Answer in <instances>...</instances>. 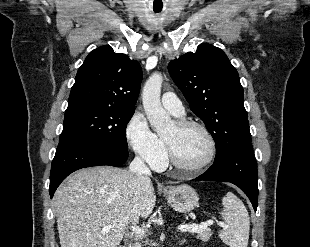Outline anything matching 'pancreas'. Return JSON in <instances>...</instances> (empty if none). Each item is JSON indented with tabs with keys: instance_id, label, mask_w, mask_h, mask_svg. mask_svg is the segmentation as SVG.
<instances>
[{
	"instance_id": "obj_1",
	"label": "pancreas",
	"mask_w": 310,
	"mask_h": 247,
	"mask_svg": "<svg viewBox=\"0 0 310 247\" xmlns=\"http://www.w3.org/2000/svg\"><path fill=\"white\" fill-rule=\"evenodd\" d=\"M211 236H212V232H211V230L209 228H207L205 230L197 232L196 238L200 239L203 242H207L208 240H210ZM136 241L137 242H135L133 247H141L142 243L138 242V240H136Z\"/></svg>"
}]
</instances>
